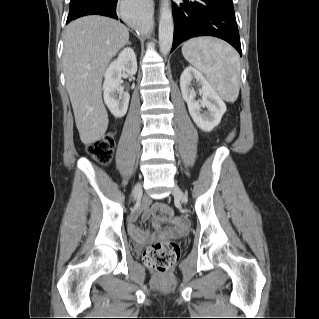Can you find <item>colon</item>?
Here are the masks:
<instances>
[{"mask_svg":"<svg viewBox=\"0 0 319 319\" xmlns=\"http://www.w3.org/2000/svg\"><path fill=\"white\" fill-rule=\"evenodd\" d=\"M235 132H231L227 141H231ZM115 140L111 134H106L99 140L88 145V153L106 163L111 158ZM153 217L157 220L165 221L174 218L172 209L166 204H156L152 209ZM180 255V246L174 241L155 242L148 245L143 252L144 264L155 270L159 276L163 277L170 267L175 263Z\"/></svg>","mask_w":319,"mask_h":319,"instance_id":"1","label":"colon"}]
</instances>
